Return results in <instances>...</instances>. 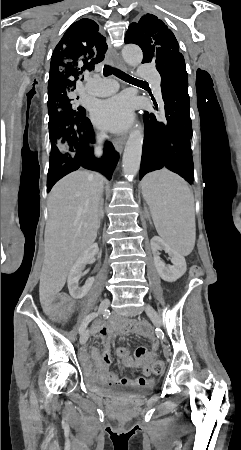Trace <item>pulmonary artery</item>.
Here are the masks:
<instances>
[{"label":"pulmonary artery","mask_w":241,"mask_h":450,"mask_svg":"<svg viewBox=\"0 0 241 450\" xmlns=\"http://www.w3.org/2000/svg\"><path fill=\"white\" fill-rule=\"evenodd\" d=\"M140 80H144L145 84H150L155 90L154 93L159 95L161 93V83L159 82L158 71H144L145 67H140ZM87 85L90 92H113L115 85L110 78H88ZM107 93H100L98 96H105Z\"/></svg>","instance_id":"e3ab8cb5"}]
</instances>
